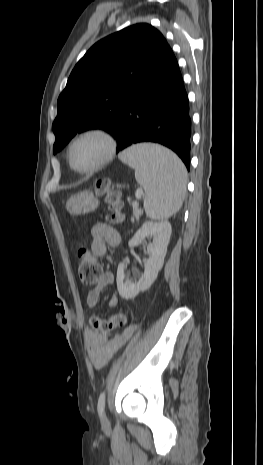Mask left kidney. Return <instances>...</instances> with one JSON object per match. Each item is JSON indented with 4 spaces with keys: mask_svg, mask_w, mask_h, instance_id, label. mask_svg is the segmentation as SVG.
I'll return each mask as SVG.
<instances>
[{
    "mask_svg": "<svg viewBox=\"0 0 263 465\" xmlns=\"http://www.w3.org/2000/svg\"><path fill=\"white\" fill-rule=\"evenodd\" d=\"M171 232L170 223L149 221L145 222L129 241V247L133 248L141 244L147 236L153 237V241L147 245L149 258L144 260V273L138 281L127 280L124 282L125 263L118 265L116 281L118 292L122 298L132 299L153 284L163 266Z\"/></svg>",
    "mask_w": 263,
    "mask_h": 465,
    "instance_id": "left-kidney-1",
    "label": "left kidney"
}]
</instances>
